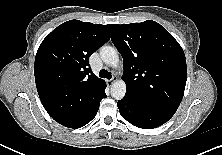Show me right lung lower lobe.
I'll list each match as a JSON object with an SVG mask.
<instances>
[{
	"label": "right lung lower lobe",
	"mask_w": 222,
	"mask_h": 155,
	"mask_svg": "<svg viewBox=\"0 0 222 155\" xmlns=\"http://www.w3.org/2000/svg\"><path fill=\"white\" fill-rule=\"evenodd\" d=\"M105 89L89 105L80 108L73 115L57 119V122L69 128H80L89 123L97 114L100 101L106 98Z\"/></svg>",
	"instance_id": "right-lung-lower-lobe-1"
}]
</instances>
